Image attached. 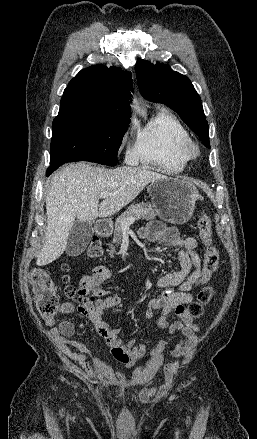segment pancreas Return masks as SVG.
I'll return each mask as SVG.
<instances>
[{"mask_svg":"<svg viewBox=\"0 0 257 439\" xmlns=\"http://www.w3.org/2000/svg\"><path fill=\"white\" fill-rule=\"evenodd\" d=\"M158 214L157 209L151 203H140L129 206V208L121 214L116 222L113 232V244L118 245L122 239L123 228L121 226V221L130 217H134L135 220H151L155 218ZM111 245V250L109 251L111 255L114 254V245Z\"/></svg>","mask_w":257,"mask_h":439,"instance_id":"obj_1","label":"pancreas"}]
</instances>
